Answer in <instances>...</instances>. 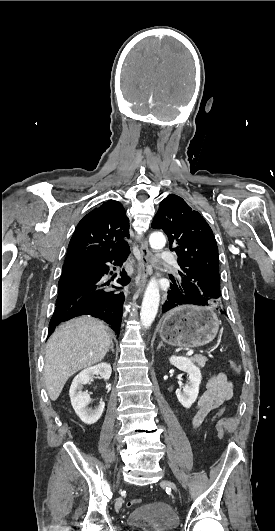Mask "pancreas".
<instances>
[{
  "label": "pancreas",
  "mask_w": 275,
  "mask_h": 531,
  "mask_svg": "<svg viewBox=\"0 0 275 531\" xmlns=\"http://www.w3.org/2000/svg\"><path fill=\"white\" fill-rule=\"evenodd\" d=\"M191 361H194V363H197L198 367H204L208 359L207 357H203V355H194V357H191Z\"/></svg>",
  "instance_id": "cf45deb5"
}]
</instances>
